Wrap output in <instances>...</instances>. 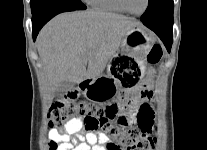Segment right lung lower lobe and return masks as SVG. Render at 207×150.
<instances>
[{"label": "right lung lower lobe", "instance_id": "obj_1", "mask_svg": "<svg viewBox=\"0 0 207 150\" xmlns=\"http://www.w3.org/2000/svg\"><path fill=\"white\" fill-rule=\"evenodd\" d=\"M67 11H74V9H71L66 6H53L50 8L45 9L44 11L33 15L32 17V29H33V40L35 41L36 36L38 35V32L40 29L55 15L67 12Z\"/></svg>", "mask_w": 207, "mask_h": 150}]
</instances>
